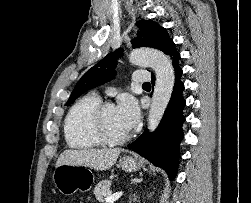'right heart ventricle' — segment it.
<instances>
[{"label":"right heart ventricle","instance_id":"e07e8e85","mask_svg":"<svg viewBox=\"0 0 251 203\" xmlns=\"http://www.w3.org/2000/svg\"><path fill=\"white\" fill-rule=\"evenodd\" d=\"M100 103L99 96L87 94L69 108L64 120V136L69 147L88 150L102 144L90 127L92 113Z\"/></svg>","mask_w":251,"mask_h":203}]
</instances>
